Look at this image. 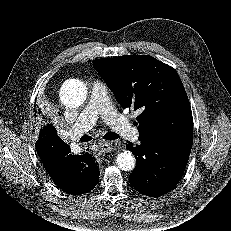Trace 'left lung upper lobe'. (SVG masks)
<instances>
[{"label":"left lung upper lobe","mask_w":231,"mask_h":231,"mask_svg":"<svg viewBox=\"0 0 231 231\" xmlns=\"http://www.w3.org/2000/svg\"><path fill=\"white\" fill-rule=\"evenodd\" d=\"M93 67L123 107L141 112L136 118L140 141L191 150L192 112L175 69L148 55L102 58Z\"/></svg>","instance_id":"5c2ea615"}]
</instances>
